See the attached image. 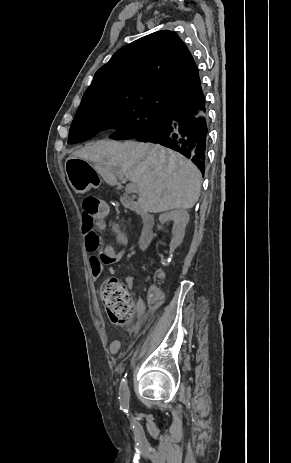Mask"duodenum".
<instances>
[{"label": "duodenum", "mask_w": 291, "mask_h": 463, "mask_svg": "<svg viewBox=\"0 0 291 463\" xmlns=\"http://www.w3.org/2000/svg\"><path fill=\"white\" fill-rule=\"evenodd\" d=\"M121 201L126 207H129L132 212H141L139 205L137 203H131L128 196L122 195ZM154 226L155 220L153 216L148 213H142V230L139 238V247L141 249H146L153 240Z\"/></svg>", "instance_id": "410a0bca"}]
</instances>
